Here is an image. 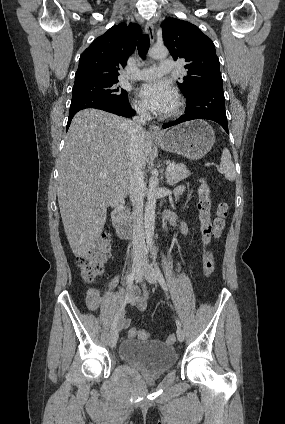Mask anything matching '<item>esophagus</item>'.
<instances>
[{"instance_id":"esophagus-1","label":"esophagus","mask_w":285,"mask_h":424,"mask_svg":"<svg viewBox=\"0 0 285 424\" xmlns=\"http://www.w3.org/2000/svg\"><path fill=\"white\" fill-rule=\"evenodd\" d=\"M145 32L150 37L151 43H153L155 37H154V27H153L152 22H150V21L146 22ZM149 133L152 137H162L163 136V132L161 131L160 127L157 124L150 125Z\"/></svg>"}]
</instances>
